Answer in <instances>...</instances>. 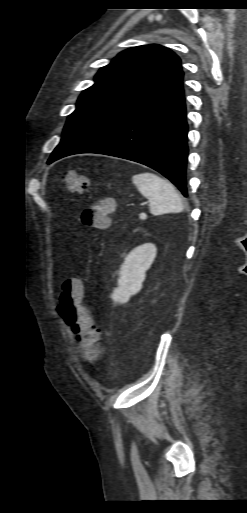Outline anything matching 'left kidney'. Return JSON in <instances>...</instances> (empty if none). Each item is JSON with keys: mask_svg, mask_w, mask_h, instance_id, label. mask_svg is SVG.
I'll list each match as a JSON object with an SVG mask.
<instances>
[{"mask_svg": "<svg viewBox=\"0 0 247 513\" xmlns=\"http://www.w3.org/2000/svg\"><path fill=\"white\" fill-rule=\"evenodd\" d=\"M156 253V246L146 243L134 248L125 257L118 273V287L112 293L114 302L124 304L141 290L146 271L152 265Z\"/></svg>", "mask_w": 247, "mask_h": 513, "instance_id": "5707ae66", "label": "left kidney"}]
</instances>
